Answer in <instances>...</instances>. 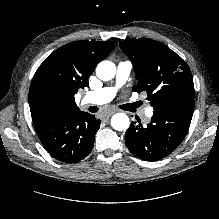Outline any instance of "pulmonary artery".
<instances>
[{
    "mask_svg": "<svg viewBox=\"0 0 219 219\" xmlns=\"http://www.w3.org/2000/svg\"><path fill=\"white\" fill-rule=\"evenodd\" d=\"M131 71H132V63L130 61H122L118 64L116 69L117 86H121L127 81ZM115 93H116L115 87H104L87 93L84 96V99L85 102L88 104H106L114 98ZM152 111H153L152 108L145 109L143 113L144 117L148 119L152 114Z\"/></svg>",
    "mask_w": 219,
    "mask_h": 219,
    "instance_id": "obj_1",
    "label": "pulmonary artery"
}]
</instances>
